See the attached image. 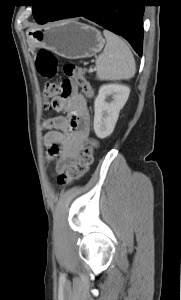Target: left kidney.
Segmentation results:
<instances>
[{
  "label": "left kidney",
  "instance_id": "5707ae66",
  "mask_svg": "<svg viewBox=\"0 0 181 300\" xmlns=\"http://www.w3.org/2000/svg\"><path fill=\"white\" fill-rule=\"evenodd\" d=\"M130 94L126 85L111 83L102 85L94 101V132L100 139L108 137L114 130L119 112L124 107ZM111 96L112 101L106 98Z\"/></svg>",
  "mask_w": 181,
  "mask_h": 300
}]
</instances>
